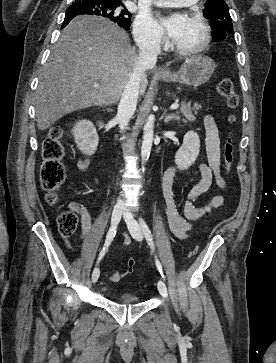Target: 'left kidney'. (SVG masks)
I'll return each mask as SVG.
<instances>
[{"mask_svg":"<svg viewBox=\"0 0 276 363\" xmlns=\"http://www.w3.org/2000/svg\"><path fill=\"white\" fill-rule=\"evenodd\" d=\"M200 152V139L197 133L189 131L184 135L183 144L175 155V164L180 170L190 167Z\"/></svg>","mask_w":276,"mask_h":363,"instance_id":"5707ae66","label":"left kidney"}]
</instances>
